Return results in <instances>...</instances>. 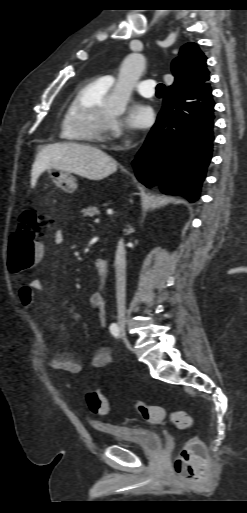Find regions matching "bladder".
<instances>
[{
	"label": "bladder",
	"mask_w": 247,
	"mask_h": 513,
	"mask_svg": "<svg viewBox=\"0 0 247 513\" xmlns=\"http://www.w3.org/2000/svg\"><path fill=\"white\" fill-rule=\"evenodd\" d=\"M97 430L111 435L114 442L123 446H135L142 452L149 453L162 449L160 435L152 429L140 426L113 425L100 423Z\"/></svg>",
	"instance_id": "1"
}]
</instances>
